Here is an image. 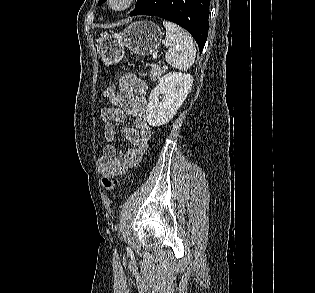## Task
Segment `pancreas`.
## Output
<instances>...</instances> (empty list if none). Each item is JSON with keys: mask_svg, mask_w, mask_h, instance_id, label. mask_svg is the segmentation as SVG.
<instances>
[{"mask_svg": "<svg viewBox=\"0 0 315 293\" xmlns=\"http://www.w3.org/2000/svg\"><path fill=\"white\" fill-rule=\"evenodd\" d=\"M166 67L159 66V65H152L151 66V71H150V79L152 81H155L157 78H160L162 74L165 73Z\"/></svg>", "mask_w": 315, "mask_h": 293, "instance_id": "pancreas-1", "label": "pancreas"}]
</instances>
